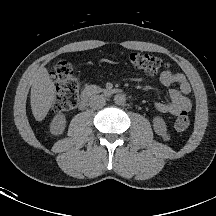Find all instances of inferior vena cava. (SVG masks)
<instances>
[{"instance_id": "obj_1", "label": "inferior vena cava", "mask_w": 216, "mask_h": 216, "mask_svg": "<svg viewBox=\"0 0 216 216\" xmlns=\"http://www.w3.org/2000/svg\"><path fill=\"white\" fill-rule=\"evenodd\" d=\"M105 98L102 95H94L89 99V105L91 108L100 109L105 106Z\"/></svg>"}]
</instances>
